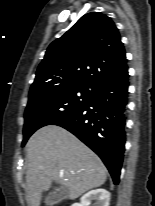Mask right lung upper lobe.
I'll return each mask as SVG.
<instances>
[{
  "mask_svg": "<svg viewBox=\"0 0 155 206\" xmlns=\"http://www.w3.org/2000/svg\"><path fill=\"white\" fill-rule=\"evenodd\" d=\"M124 45L114 22L91 12L48 47L29 96L52 88L84 85L98 89L127 69Z\"/></svg>",
  "mask_w": 155,
  "mask_h": 206,
  "instance_id": "cb5924a9",
  "label": "right lung upper lobe"
}]
</instances>
